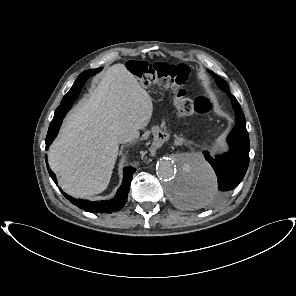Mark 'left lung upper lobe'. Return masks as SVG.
Masks as SVG:
<instances>
[{
    "label": "left lung upper lobe",
    "mask_w": 296,
    "mask_h": 296,
    "mask_svg": "<svg viewBox=\"0 0 296 296\" xmlns=\"http://www.w3.org/2000/svg\"><path fill=\"white\" fill-rule=\"evenodd\" d=\"M209 72L211 73V75L214 76L215 81L217 82V84L219 85V87L221 89H223L224 91H226L229 95H231L227 83L222 78H220L215 73H213L212 71H209Z\"/></svg>",
    "instance_id": "5c2ea615"
}]
</instances>
